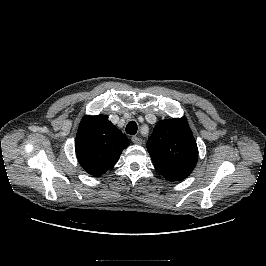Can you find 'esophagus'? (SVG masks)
I'll return each mask as SVG.
<instances>
[{
  "label": "esophagus",
  "instance_id": "34e87169",
  "mask_svg": "<svg viewBox=\"0 0 266 266\" xmlns=\"http://www.w3.org/2000/svg\"><path fill=\"white\" fill-rule=\"evenodd\" d=\"M131 140L134 144L137 145H141L143 143V140L137 136H132Z\"/></svg>",
  "mask_w": 266,
  "mask_h": 266
}]
</instances>
